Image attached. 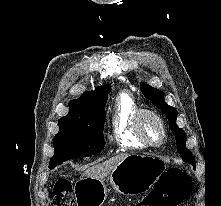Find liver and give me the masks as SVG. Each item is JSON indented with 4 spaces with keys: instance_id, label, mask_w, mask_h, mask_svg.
Wrapping results in <instances>:
<instances>
[{
    "instance_id": "obj_1",
    "label": "liver",
    "mask_w": 221,
    "mask_h": 206,
    "mask_svg": "<svg viewBox=\"0 0 221 206\" xmlns=\"http://www.w3.org/2000/svg\"><path fill=\"white\" fill-rule=\"evenodd\" d=\"M127 154L116 155L103 163L94 165L88 168L83 176L91 177L95 179H104L109 176L112 171L116 168V166L127 157Z\"/></svg>"
}]
</instances>
